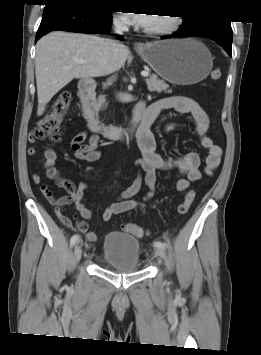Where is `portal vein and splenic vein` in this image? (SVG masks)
I'll use <instances>...</instances> for the list:
<instances>
[{"label":"portal vein and splenic vein","mask_w":261,"mask_h":355,"mask_svg":"<svg viewBox=\"0 0 261 355\" xmlns=\"http://www.w3.org/2000/svg\"><path fill=\"white\" fill-rule=\"evenodd\" d=\"M75 61H76V63H79V64H83L86 62L84 59H76ZM141 75L143 77H148L149 74H148V72L143 71V72H141Z\"/></svg>","instance_id":"portal-vein-and-splenic-vein-1"}]
</instances>
